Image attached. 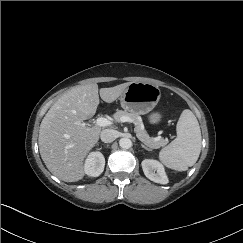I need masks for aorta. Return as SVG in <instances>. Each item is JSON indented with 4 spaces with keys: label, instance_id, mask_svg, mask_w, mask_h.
I'll use <instances>...</instances> for the list:
<instances>
[{
    "label": "aorta",
    "instance_id": "aorta-1",
    "mask_svg": "<svg viewBox=\"0 0 243 243\" xmlns=\"http://www.w3.org/2000/svg\"><path fill=\"white\" fill-rule=\"evenodd\" d=\"M119 146L122 149H129L132 146V141L129 138H121L119 140Z\"/></svg>",
    "mask_w": 243,
    "mask_h": 243
}]
</instances>
